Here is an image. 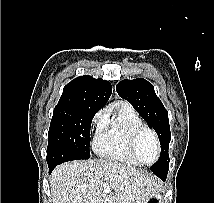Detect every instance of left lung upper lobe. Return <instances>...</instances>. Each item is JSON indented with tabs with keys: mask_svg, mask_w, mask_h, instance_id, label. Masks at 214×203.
Masks as SVG:
<instances>
[{
	"mask_svg": "<svg viewBox=\"0 0 214 203\" xmlns=\"http://www.w3.org/2000/svg\"><path fill=\"white\" fill-rule=\"evenodd\" d=\"M118 95L129 101L139 115L156 131L161 155L151 171L159 178L167 175L169 167L168 148L171 140L168 112L157 97L153 85L143 78L122 80L116 85Z\"/></svg>",
	"mask_w": 214,
	"mask_h": 203,
	"instance_id": "obj_1",
	"label": "left lung upper lobe"
}]
</instances>
